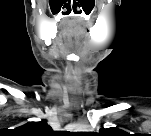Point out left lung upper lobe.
Masks as SVG:
<instances>
[{
    "instance_id": "1",
    "label": "left lung upper lobe",
    "mask_w": 151,
    "mask_h": 136,
    "mask_svg": "<svg viewBox=\"0 0 151 136\" xmlns=\"http://www.w3.org/2000/svg\"><path fill=\"white\" fill-rule=\"evenodd\" d=\"M110 131H113V128H109V129H105V128H102L100 129V132L103 133V134H108Z\"/></svg>"
}]
</instances>
